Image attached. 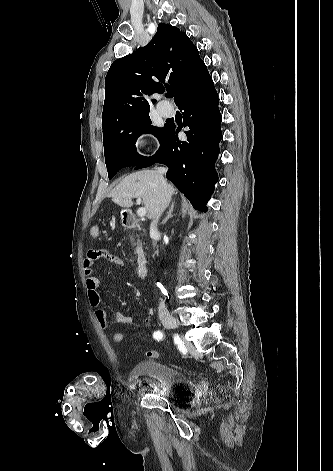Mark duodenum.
Returning a JSON list of instances; mask_svg holds the SVG:
<instances>
[{
    "label": "duodenum",
    "mask_w": 333,
    "mask_h": 471,
    "mask_svg": "<svg viewBox=\"0 0 333 471\" xmlns=\"http://www.w3.org/2000/svg\"><path fill=\"white\" fill-rule=\"evenodd\" d=\"M123 225L127 228L134 229L138 226L137 220L134 214L130 211H126L122 218ZM148 272V263L146 256L143 253L137 254L136 259V273L139 277H145Z\"/></svg>",
    "instance_id": "duodenum-1"
}]
</instances>
